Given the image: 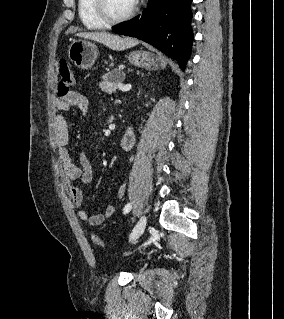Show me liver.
<instances>
[{
    "mask_svg": "<svg viewBox=\"0 0 284 319\" xmlns=\"http://www.w3.org/2000/svg\"><path fill=\"white\" fill-rule=\"evenodd\" d=\"M76 36L97 41L116 51L125 50L138 44L137 39L128 37L122 38L118 35H113L107 32H80L77 33Z\"/></svg>",
    "mask_w": 284,
    "mask_h": 319,
    "instance_id": "6515ba94",
    "label": "liver"
}]
</instances>
